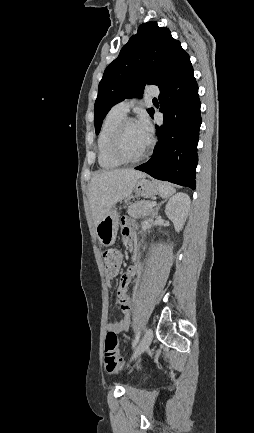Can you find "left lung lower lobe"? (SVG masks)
I'll return each mask as SVG.
<instances>
[{
    "mask_svg": "<svg viewBox=\"0 0 254 433\" xmlns=\"http://www.w3.org/2000/svg\"><path fill=\"white\" fill-rule=\"evenodd\" d=\"M159 89L164 123L156 126L158 143L153 156L135 169L156 179L195 189L201 104L187 53L181 56ZM153 114L154 111L150 116Z\"/></svg>",
    "mask_w": 254,
    "mask_h": 433,
    "instance_id": "left-lung-lower-lobe-1",
    "label": "left lung lower lobe"
}]
</instances>
